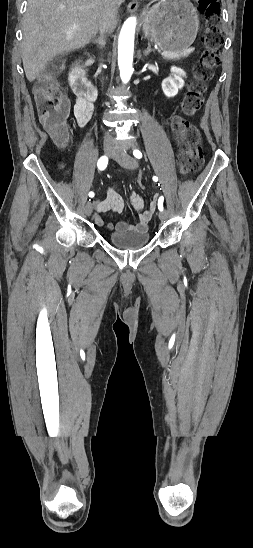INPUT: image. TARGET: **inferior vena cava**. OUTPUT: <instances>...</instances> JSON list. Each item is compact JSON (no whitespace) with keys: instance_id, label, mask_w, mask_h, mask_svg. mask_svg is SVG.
Instances as JSON below:
<instances>
[{"instance_id":"inferior-vena-cava-1","label":"inferior vena cava","mask_w":253,"mask_h":548,"mask_svg":"<svg viewBox=\"0 0 253 548\" xmlns=\"http://www.w3.org/2000/svg\"><path fill=\"white\" fill-rule=\"evenodd\" d=\"M124 2V0H104V12L99 28L100 38L105 37V34H111L114 31V22L118 12V8ZM111 135L105 133V139H110Z\"/></svg>"}]
</instances>
